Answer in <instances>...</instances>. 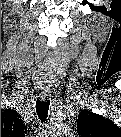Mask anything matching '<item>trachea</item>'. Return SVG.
<instances>
[{"label":"trachea","mask_w":121,"mask_h":137,"mask_svg":"<svg viewBox=\"0 0 121 137\" xmlns=\"http://www.w3.org/2000/svg\"><path fill=\"white\" fill-rule=\"evenodd\" d=\"M49 109V101L37 100L36 102V112L41 121H44L47 118Z\"/></svg>","instance_id":"1"}]
</instances>
